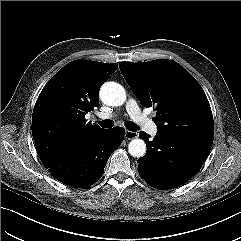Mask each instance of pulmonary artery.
<instances>
[{"label":"pulmonary artery","instance_id":"e3ab8cb5","mask_svg":"<svg viewBox=\"0 0 241 241\" xmlns=\"http://www.w3.org/2000/svg\"><path fill=\"white\" fill-rule=\"evenodd\" d=\"M126 111L128 112L131 119L140 126L144 131L149 134L157 133V126L144 114L139 108L137 102L134 99H129L126 103ZM102 119H108L112 117V114L102 113L99 115Z\"/></svg>","mask_w":241,"mask_h":241}]
</instances>
